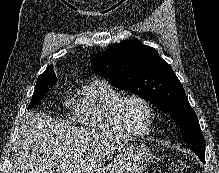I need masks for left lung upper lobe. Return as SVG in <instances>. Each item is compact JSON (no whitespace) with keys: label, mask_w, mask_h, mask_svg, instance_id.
<instances>
[{"label":"left lung upper lobe","mask_w":219,"mask_h":173,"mask_svg":"<svg viewBox=\"0 0 219 173\" xmlns=\"http://www.w3.org/2000/svg\"><path fill=\"white\" fill-rule=\"evenodd\" d=\"M91 66L116 88L130 91L168 112L194 152L205 155L204 137L184 88L158 52L139 40L112 45L91 56Z\"/></svg>","instance_id":"left-lung-upper-lobe-1"}]
</instances>
